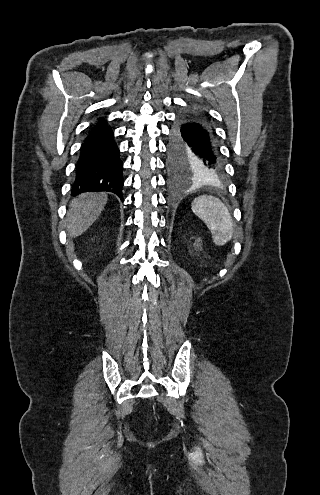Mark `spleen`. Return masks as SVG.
<instances>
[{
	"label": "spleen",
	"instance_id": "spleen-1",
	"mask_svg": "<svg viewBox=\"0 0 320 495\" xmlns=\"http://www.w3.org/2000/svg\"><path fill=\"white\" fill-rule=\"evenodd\" d=\"M192 211L212 233L213 243L224 246L233 236V221L227 207L216 197L202 195L194 199Z\"/></svg>",
	"mask_w": 320,
	"mask_h": 495
}]
</instances>
